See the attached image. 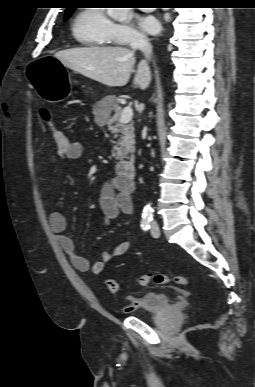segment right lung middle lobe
I'll use <instances>...</instances> for the list:
<instances>
[{"instance_id": "obj_1", "label": "right lung middle lobe", "mask_w": 255, "mask_h": 387, "mask_svg": "<svg viewBox=\"0 0 255 387\" xmlns=\"http://www.w3.org/2000/svg\"><path fill=\"white\" fill-rule=\"evenodd\" d=\"M73 9H68L65 13V17H64V20H67L69 18V16L71 15Z\"/></svg>"}]
</instances>
